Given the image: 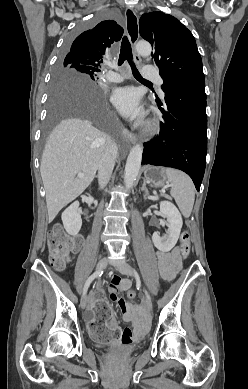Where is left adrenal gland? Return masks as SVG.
<instances>
[{
	"label": "left adrenal gland",
	"mask_w": 248,
	"mask_h": 389,
	"mask_svg": "<svg viewBox=\"0 0 248 389\" xmlns=\"http://www.w3.org/2000/svg\"><path fill=\"white\" fill-rule=\"evenodd\" d=\"M141 191H144V198L146 197V195H148L149 194V190L147 189V187H146V181L144 180L143 181V184H142V187H141Z\"/></svg>",
	"instance_id": "left-adrenal-gland-1"
}]
</instances>
